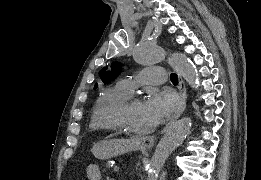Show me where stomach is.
<instances>
[{
    "instance_id": "1",
    "label": "stomach",
    "mask_w": 261,
    "mask_h": 180,
    "mask_svg": "<svg viewBox=\"0 0 261 180\" xmlns=\"http://www.w3.org/2000/svg\"><path fill=\"white\" fill-rule=\"evenodd\" d=\"M138 148L139 145L133 139H109L95 143L91 151L97 159L107 160Z\"/></svg>"
}]
</instances>
